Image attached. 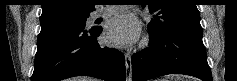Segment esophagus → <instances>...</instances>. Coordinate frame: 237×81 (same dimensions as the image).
<instances>
[{
	"instance_id": "obj_1",
	"label": "esophagus",
	"mask_w": 237,
	"mask_h": 81,
	"mask_svg": "<svg viewBox=\"0 0 237 81\" xmlns=\"http://www.w3.org/2000/svg\"><path fill=\"white\" fill-rule=\"evenodd\" d=\"M125 66L127 75V81L132 80V65H131V55L130 53H125Z\"/></svg>"
}]
</instances>
